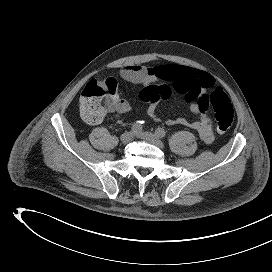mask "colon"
Segmentation results:
<instances>
[{"mask_svg":"<svg viewBox=\"0 0 272 272\" xmlns=\"http://www.w3.org/2000/svg\"><path fill=\"white\" fill-rule=\"evenodd\" d=\"M173 88L169 84H150L144 87L140 100L146 103H156L168 99ZM117 98V83L113 79L91 80L83 88L79 98V110L83 120L89 124L99 123L111 109ZM220 133L229 130L234 122V109L221 88H215L208 97Z\"/></svg>","mask_w":272,"mask_h":272,"instance_id":"colon-1","label":"colon"}]
</instances>
